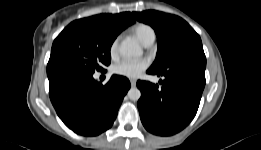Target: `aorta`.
<instances>
[{
    "instance_id": "762f6f07",
    "label": "aorta",
    "mask_w": 261,
    "mask_h": 150,
    "mask_svg": "<svg viewBox=\"0 0 261 150\" xmlns=\"http://www.w3.org/2000/svg\"><path fill=\"white\" fill-rule=\"evenodd\" d=\"M119 51L125 58L140 57L143 54L141 46L135 40L130 38L121 42ZM127 95L130 100L138 101L141 97V92L137 87H132L128 91Z\"/></svg>"
}]
</instances>
